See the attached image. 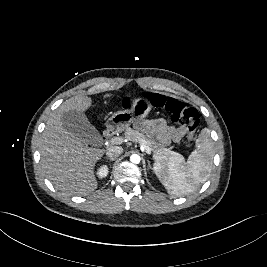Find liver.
Returning a JSON list of instances; mask_svg holds the SVG:
<instances>
[{
	"instance_id": "obj_1",
	"label": "liver",
	"mask_w": 267,
	"mask_h": 267,
	"mask_svg": "<svg viewBox=\"0 0 267 267\" xmlns=\"http://www.w3.org/2000/svg\"><path fill=\"white\" fill-rule=\"evenodd\" d=\"M104 95V98L110 97ZM92 105L88 96H76L63 102L48 119L42 133L39 151L41 167L57 190L68 195H87L97 188L94 170L105 149L89 147L62 123L65 112H84Z\"/></svg>"
}]
</instances>
